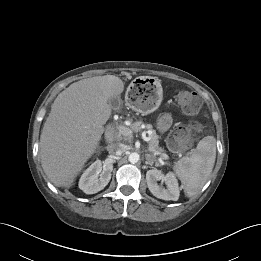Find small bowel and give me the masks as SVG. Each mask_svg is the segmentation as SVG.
<instances>
[{"mask_svg":"<svg viewBox=\"0 0 261 261\" xmlns=\"http://www.w3.org/2000/svg\"><path fill=\"white\" fill-rule=\"evenodd\" d=\"M172 123V118L170 115H164L163 117H161L160 121H159V128L162 131L167 130L170 125Z\"/></svg>","mask_w":261,"mask_h":261,"instance_id":"1","label":"small bowel"}]
</instances>
